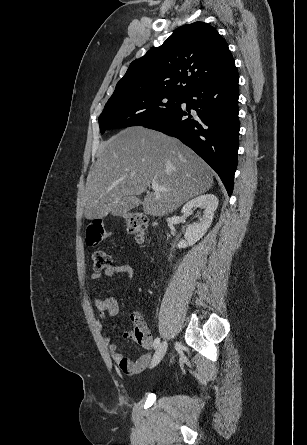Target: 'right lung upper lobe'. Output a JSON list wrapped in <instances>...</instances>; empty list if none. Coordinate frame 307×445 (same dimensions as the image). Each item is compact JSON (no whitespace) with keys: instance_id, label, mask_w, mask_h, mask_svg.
<instances>
[{"instance_id":"obj_1","label":"right lung upper lobe","mask_w":307,"mask_h":445,"mask_svg":"<svg viewBox=\"0 0 307 445\" xmlns=\"http://www.w3.org/2000/svg\"><path fill=\"white\" fill-rule=\"evenodd\" d=\"M232 65L234 59L217 30L204 22H194L177 29L161 46L134 60L111 98L151 94L184 96Z\"/></svg>"}]
</instances>
